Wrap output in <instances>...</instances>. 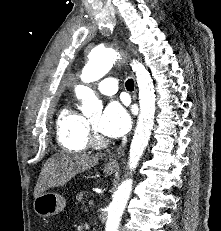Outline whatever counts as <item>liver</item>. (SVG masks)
Returning a JSON list of instances; mask_svg holds the SVG:
<instances>
[{
	"mask_svg": "<svg viewBox=\"0 0 221 231\" xmlns=\"http://www.w3.org/2000/svg\"><path fill=\"white\" fill-rule=\"evenodd\" d=\"M99 161L97 156L60 152L50 157L44 164L37 184L34 188V198L40 196L49 188L65 185L76 174L84 172Z\"/></svg>",
	"mask_w": 221,
	"mask_h": 231,
	"instance_id": "6515ba94",
	"label": "liver"
}]
</instances>
